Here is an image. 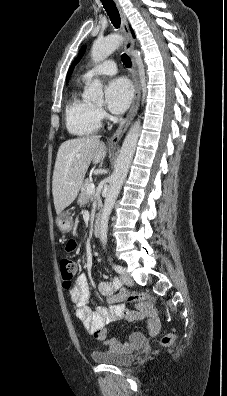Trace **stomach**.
<instances>
[{
  "mask_svg": "<svg viewBox=\"0 0 227 396\" xmlns=\"http://www.w3.org/2000/svg\"><path fill=\"white\" fill-rule=\"evenodd\" d=\"M56 224L63 233L69 232L73 226L69 211H62L58 214Z\"/></svg>",
  "mask_w": 227,
  "mask_h": 396,
  "instance_id": "stomach-1",
  "label": "stomach"
}]
</instances>
